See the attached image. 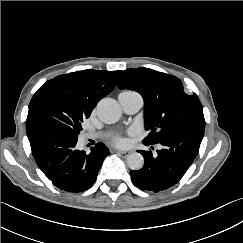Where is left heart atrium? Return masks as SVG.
I'll return each mask as SVG.
<instances>
[{"label": "left heart atrium", "instance_id": "obj_1", "mask_svg": "<svg viewBox=\"0 0 243 243\" xmlns=\"http://www.w3.org/2000/svg\"><path fill=\"white\" fill-rule=\"evenodd\" d=\"M109 140L113 145L117 147H123L127 144L126 138L120 133L111 134Z\"/></svg>", "mask_w": 243, "mask_h": 243}]
</instances>
